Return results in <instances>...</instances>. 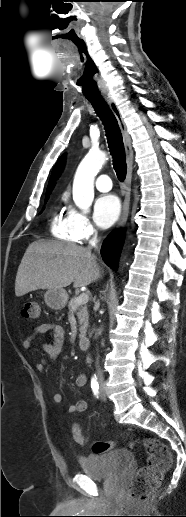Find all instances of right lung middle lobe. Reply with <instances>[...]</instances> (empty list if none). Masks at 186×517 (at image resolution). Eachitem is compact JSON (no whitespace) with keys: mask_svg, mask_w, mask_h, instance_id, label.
<instances>
[{"mask_svg":"<svg viewBox=\"0 0 186 517\" xmlns=\"http://www.w3.org/2000/svg\"><path fill=\"white\" fill-rule=\"evenodd\" d=\"M50 193H51V192H46L45 202H47V200H48V198H49Z\"/></svg>","mask_w":186,"mask_h":517,"instance_id":"1","label":"right lung middle lobe"}]
</instances>
